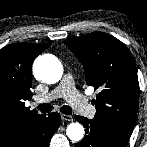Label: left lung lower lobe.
Listing matches in <instances>:
<instances>
[{
  "mask_svg": "<svg viewBox=\"0 0 147 147\" xmlns=\"http://www.w3.org/2000/svg\"><path fill=\"white\" fill-rule=\"evenodd\" d=\"M75 119L86 128V135L75 147H126L127 141L118 137L114 132L103 124L89 120L83 116H76Z\"/></svg>",
  "mask_w": 147,
  "mask_h": 147,
  "instance_id": "0a47b994",
  "label": "left lung lower lobe"
}]
</instances>
